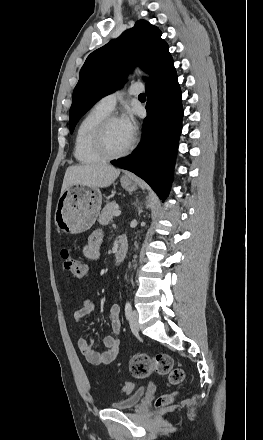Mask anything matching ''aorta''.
<instances>
[{"mask_svg":"<svg viewBox=\"0 0 263 440\" xmlns=\"http://www.w3.org/2000/svg\"><path fill=\"white\" fill-rule=\"evenodd\" d=\"M135 71H136V73H139V74H141V75H144V73H143L140 69H136Z\"/></svg>","mask_w":263,"mask_h":440,"instance_id":"1","label":"aorta"}]
</instances>
